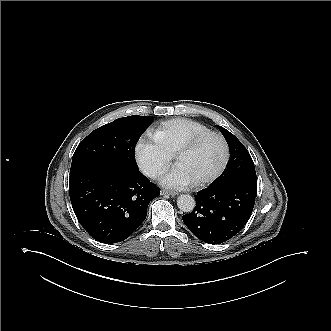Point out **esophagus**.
Here are the masks:
<instances>
[{
	"label": "esophagus",
	"mask_w": 331,
	"mask_h": 331,
	"mask_svg": "<svg viewBox=\"0 0 331 331\" xmlns=\"http://www.w3.org/2000/svg\"><path fill=\"white\" fill-rule=\"evenodd\" d=\"M166 194L171 195V196H176V195H178V192L170 191V190H162L161 191V195H166Z\"/></svg>",
	"instance_id": "obj_1"
}]
</instances>
